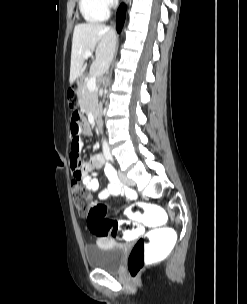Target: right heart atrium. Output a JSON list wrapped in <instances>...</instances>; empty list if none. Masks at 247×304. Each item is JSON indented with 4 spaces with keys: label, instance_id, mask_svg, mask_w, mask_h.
I'll return each instance as SVG.
<instances>
[{
    "label": "right heart atrium",
    "instance_id": "d8ad5b80",
    "mask_svg": "<svg viewBox=\"0 0 247 304\" xmlns=\"http://www.w3.org/2000/svg\"><path fill=\"white\" fill-rule=\"evenodd\" d=\"M101 5L106 9H110L111 7H113L116 4L117 0H99Z\"/></svg>",
    "mask_w": 247,
    "mask_h": 304
}]
</instances>
